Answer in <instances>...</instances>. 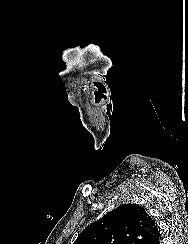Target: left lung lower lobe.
<instances>
[{"label": "left lung lower lobe", "mask_w": 188, "mask_h": 244, "mask_svg": "<svg viewBox=\"0 0 188 244\" xmlns=\"http://www.w3.org/2000/svg\"><path fill=\"white\" fill-rule=\"evenodd\" d=\"M150 244H160V233L158 232Z\"/></svg>", "instance_id": "left-lung-lower-lobe-1"}]
</instances>
